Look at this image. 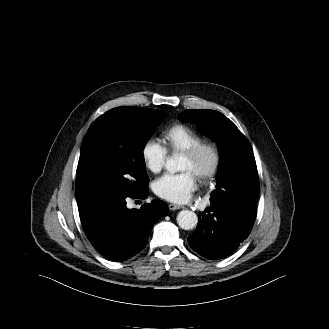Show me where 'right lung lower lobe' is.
<instances>
[{
  "label": "right lung lower lobe",
  "instance_id": "obj_1",
  "mask_svg": "<svg viewBox=\"0 0 329 329\" xmlns=\"http://www.w3.org/2000/svg\"><path fill=\"white\" fill-rule=\"evenodd\" d=\"M148 195V187L136 195L102 188L78 198L84 231L106 258L123 261L144 248L153 225L168 212V207L153 200L140 209L130 210L126 198L145 199Z\"/></svg>",
  "mask_w": 329,
  "mask_h": 329
}]
</instances>
